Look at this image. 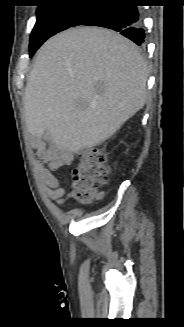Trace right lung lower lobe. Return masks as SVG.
<instances>
[{
  "mask_svg": "<svg viewBox=\"0 0 184 327\" xmlns=\"http://www.w3.org/2000/svg\"><path fill=\"white\" fill-rule=\"evenodd\" d=\"M130 0H95L85 13L72 25L109 28L142 45L145 32L140 11L135 5H125Z\"/></svg>",
  "mask_w": 184,
  "mask_h": 327,
  "instance_id": "obj_1",
  "label": "right lung lower lobe"
}]
</instances>
